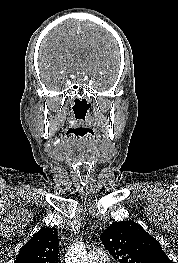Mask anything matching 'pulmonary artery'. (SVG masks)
<instances>
[{"label": "pulmonary artery", "mask_w": 178, "mask_h": 263, "mask_svg": "<svg viewBox=\"0 0 178 263\" xmlns=\"http://www.w3.org/2000/svg\"><path fill=\"white\" fill-rule=\"evenodd\" d=\"M89 263H108V257L100 249H92L89 252Z\"/></svg>", "instance_id": "obj_1"}]
</instances>
